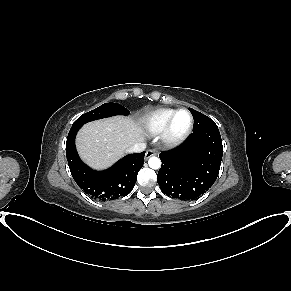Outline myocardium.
Wrapping results in <instances>:
<instances>
[{
	"label": "myocardium",
	"instance_id": "f54148a6",
	"mask_svg": "<svg viewBox=\"0 0 291 291\" xmlns=\"http://www.w3.org/2000/svg\"><path fill=\"white\" fill-rule=\"evenodd\" d=\"M181 112H185L189 115V124L183 131L177 133L174 131V119ZM193 123H194L193 115L188 109L182 108L176 110L168 120L163 130L162 133L163 142L168 146H177L181 144L189 136L193 128Z\"/></svg>",
	"mask_w": 291,
	"mask_h": 291
}]
</instances>
